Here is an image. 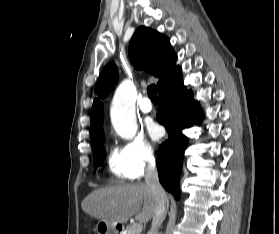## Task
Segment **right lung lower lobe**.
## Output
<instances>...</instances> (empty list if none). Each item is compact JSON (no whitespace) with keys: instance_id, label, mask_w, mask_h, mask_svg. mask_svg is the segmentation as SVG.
I'll return each instance as SVG.
<instances>
[{"instance_id":"right-lung-lower-lobe-1","label":"right lung lower lobe","mask_w":279,"mask_h":234,"mask_svg":"<svg viewBox=\"0 0 279 234\" xmlns=\"http://www.w3.org/2000/svg\"><path fill=\"white\" fill-rule=\"evenodd\" d=\"M158 98L157 120L169 134L168 140L159 146V180L178 200L183 156L188 144L182 130L198 123L202 119V111L199 103L192 99L191 90L184 86L181 72L158 91Z\"/></svg>"}]
</instances>
